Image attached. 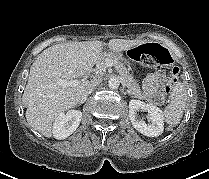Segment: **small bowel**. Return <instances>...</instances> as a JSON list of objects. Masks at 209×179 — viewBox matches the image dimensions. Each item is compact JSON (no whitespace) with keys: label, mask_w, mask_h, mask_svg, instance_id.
I'll use <instances>...</instances> for the list:
<instances>
[{"label":"small bowel","mask_w":209,"mask_h":179,"mask_svg":"<svg viewBox=\"0 0 209 179\" xmlns=\"http://www.w3.org/2000/svg\"><path fill=\"white\" fill-rule=\"evenodd\" d=\"M165 82L166 74L162 70L154 71L147 75L144 81V92L151 102L155 104L163 102Z\"/></svg>","instance_id":"obj_1"}]
</instances>
